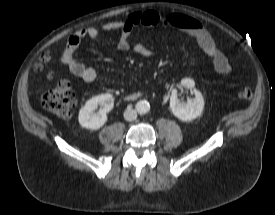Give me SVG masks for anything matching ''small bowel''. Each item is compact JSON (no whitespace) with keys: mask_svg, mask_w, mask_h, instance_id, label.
I'll return each instance as SVG.
<instances>
[{"mask_svg":"<svg viewBox=\"0 0 275 215\" xmlns=\"http://www.w3.org/2000/svg\"><path fill=\"white\" fill-rule=\"evenodd\" d=\"M138 26L179 29L195 39L201 50L211 59L217 72L228 73L231 71L232 67L229 59L217 48L212 36L200 21L179 13H161L156 10L134 12L122 21H111L103 24L100 28L89 27L76 31L69 36L61 60L75 76L85 82L95 81L97 78L96 70L78 60L76 52L85 38H96L101 31L115 30L120 31L119 49L123 51L131 50L143 57H152L153 52L148 47L139 43L131 44L130 42L131 34ZM191 66L196 67V63H192Z\"/></svg>","mask_w":275,"mask_h":215,"instance_id":"1","label":"small bowel"}]
</instances>
